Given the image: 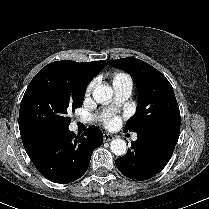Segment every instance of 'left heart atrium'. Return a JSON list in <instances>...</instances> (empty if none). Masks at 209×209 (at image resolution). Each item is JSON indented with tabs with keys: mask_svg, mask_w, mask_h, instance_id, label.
Masks as SVG:
<instances>
[{
	"mask_svg": "<svg viewBox=\"0 0 209 209\" xmlns=\"http://www.w3.org/2000/svg\"><path fill=\"white\" fill-rule=\"evenodd\" d=\"M120 123V118L116 114H109L104 120V125L107 128H113Z\"/></svg>",
	"mask_w": 209,
	"mask_h": 209,
	"instance_id": "1",
	"label": "left heart atrium"
}]
</instances>
